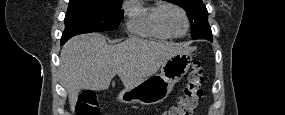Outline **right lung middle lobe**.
<instances>
[{"mask_svg": "<svg viewBox=\"0 0 285 115\" xmlns=\"http://www.w3.org/2000/svg\"><path fill=\"white\" fill-rule=\"evenodd\" d=\"M122 0H70L61 43L89 32L115 30L123 18Z\"/></svg>", "mask_w": 285, "mask_h": 115, "instance_id": "1", "label": "right lung middle lobe"}]
</instances>
